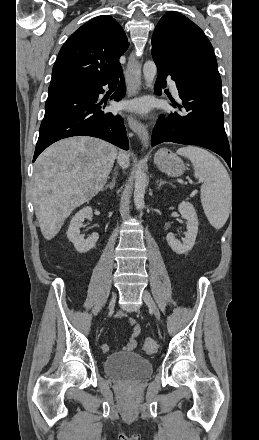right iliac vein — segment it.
<instances>
[{"mask_svg": "<svg viewBox=\"0 0 259 440\" xmlns=\"http://www.w3.org/2000/svg\"><path fill=\"white\" fill-rule=\"evenodd\" d=\"M115 301H116V293H114V294L112 295V298H111V300H110V302H109V305H108V309H109V310H112V309L114 308V306H115Z\"/></svg>", "mask_w": 259, "mask_h": 440, "instance_id": "1", "label": "right iliac vein"}]
</instances>
